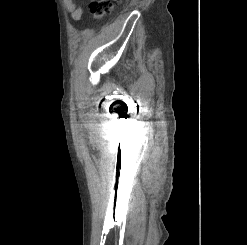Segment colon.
I'll list each match as a JSON object with an SVG mask.
<instances>
[{
  "label": "colon",
  "instance_id": "5ec220e1",
  "mask_svg": "<svg viewBox=\"0 0 247 245\" xmlns=\"http://www.w3.org/2000/svg\"><path fill=\"white\" fill-rule=\"evenodd\" d=\"M119 0H93L89 4V14L93 19H102L110 15Z\"/></svg>",
  "mask_w": 247,
  "mask_h": 245
}]
</instances>
